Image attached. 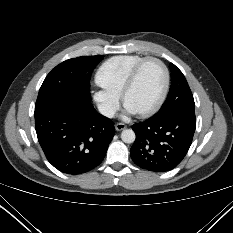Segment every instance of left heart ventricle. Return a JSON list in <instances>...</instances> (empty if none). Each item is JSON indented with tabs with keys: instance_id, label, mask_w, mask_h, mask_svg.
I'll return each mask as SVG.
<instances>
[{
	"instance_id": "1",
	"label": "left heart ventricle",
	"mask_w": 233,
	"mask_h": 233,
	"mask_svg": "<svg viewBox=\"0 0 233 233\" xmlns=\"http://www.w3.org/2000/svg\"><path fill=\"white\" fill-rule=\"evenodd\" d=\"M163 86L164 74L160 65L154 61L147 62L126 97V105L137 113L149 109L157 102Z\"/></svg>"
}]
</instances>
